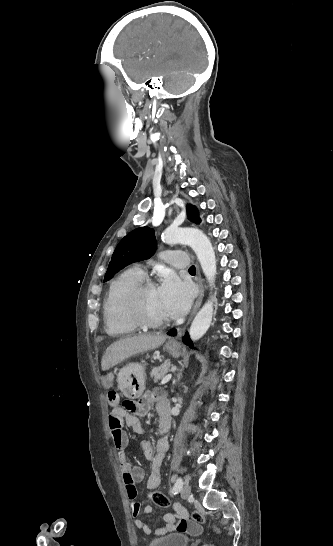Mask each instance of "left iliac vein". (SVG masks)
<instances>
[{
    "mask_svg": "<svg viewBox=\"0 0 333 546\" xmlns=\"http://www.w3.org/2000/svg\"><path fill=\"white\" fill-rule=\"evenodd\" d=\"M190 494H191V487H190L189 484H186V485L183 487L182 491H181V497H182L183 499H187V498L190 496Z\"/></svg>",
    "mask_w": 333,
    "mask_h": 546,
    "instance_id": "obj_1",
    "label": "left iliac vein"
}]
</instances>
